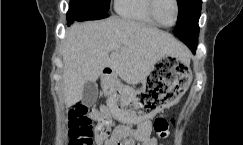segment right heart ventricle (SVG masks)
<instances>
[{
    "mask_svg": "<svg viewBox=\"0 0 243 145\" xmlns=\"http://www.w3.org/2000/svg\"><path fill=\"white\" fill-rule=\"evenodd\" d=\"M148 4V0H115V10L126 19L148 26H158L149 13Z\"/></svg>",
    "mask_w": 243,
    "mask_h": 145,
    "instance_id": "right-heart-ventricle-1",
    "label": "right heart ventricle"
}]
</instances>
